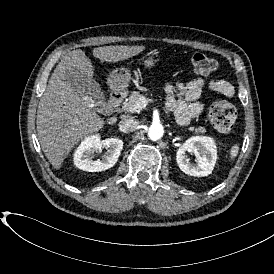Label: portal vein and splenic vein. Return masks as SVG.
Masks as SVG:
<instances>
[{
  "label": "portal vein and splenic vein",
  "mask_w": 274,
  "mask_h": 274,
  "mask_svg": "<svg viewBox=\"0 0 274 274\" xmlns=\"http://www.w3.org/2000/svg\"><path fill=\"white\" fill-rule=\"evenodd\" d=\"M148 100L149 98L142 97L135 101L129 109L124 107V111L127 113H138L146 107Z\"/></svg>",
  "instance_id": "obj_1"
}]
</instances>
